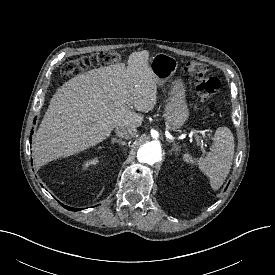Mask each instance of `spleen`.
I'll return each mask as SVG.
<instances>
[{
  "label": "spleen",
  "mask_w": 275,
  "mask_h": 275,
  "mask_svg": "<svg viewBox=\"0 0 275 275\" xmlns=\"http://www.w3.org/2000/svg\"><path fill=\"white\" fill-rule=\"evenodd\" d=\"M234 148L232 132L227 127H220L215 132L211 152L199 159L192 158L190 154H184L183 160L197 164L200 170L209 177L211 187L219 189L230 172Z\"/></svg>",
  "instance_id": "3e777b00"
}]
</instances>
